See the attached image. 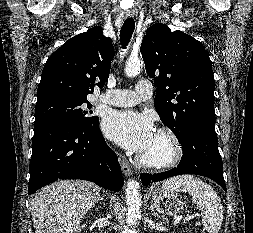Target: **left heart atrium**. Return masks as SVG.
Here are the masks:
<instances>
[{
  "mask_svg": "<svg viewBox=\"0 0 253 233\" xmlns=\"http://www.w3.org/2000/svg\"><path fill=\"white\" fill-rule=\"evenodd\" d=\"M107 138L132 152H144L155 136L153 121L147 114L112 111L102 121Z\"/></svg>",
  "mask_w": 253,
  "mask_h": 233,
  "instance_id": "obj_1",
  "label": "left heart atrium"
}]
</instances>
